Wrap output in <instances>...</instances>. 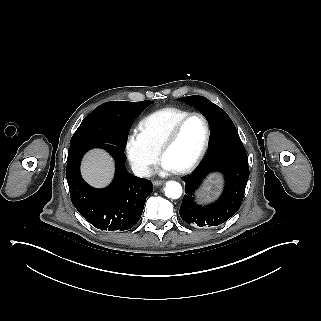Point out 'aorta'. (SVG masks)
I'll list each match as a JSON object with an SVG mask.
<instances>
[{"mask_svg":"<svg viewBox=\"0 0 321 321\" xmlns=\"http://www.w3.org/2000/svg\"><path fill=\"white\" fill-rule=\"evenodd\" d=\"M164 191L168 198L178 199L182 195V186L176 181H168Z\"/></svg>","mask_w":321,"mask_h":321,"instance_id":"obj_1","label":"aorta"}]
</instances>
